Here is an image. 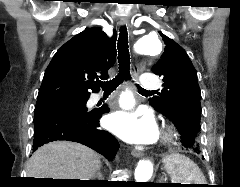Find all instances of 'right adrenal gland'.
<instances>
[{
    "mask_svg": "<svg viewBox=\"0 0 240 187\" xmlns=\"http://www.w3.org/2000/svg\"><path fill=\"white\" fill-rule=\"evenodd\" d=\"M101 168H102V165H100V168L99 170L97 171V173L94 175V180L97 178L98 180H103V175L101 173Z\"/></svg>",
    "mask_w": 240,
    "mask_h": 187,
    "instance_id": "1",
    "label": "right adrenal gland"
}]
</instances>
